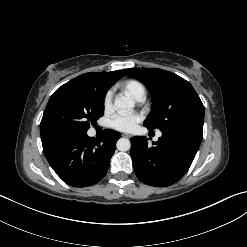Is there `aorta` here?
I'll use <instances>...</instances> for the list:
<instances>
[{
    "mask_svg": "<svg viewBox=\"0 0 247 247\" xmlns=\"http://www.w3.org/2000/svg\"><path fill=\"white\" fill-rule=\"evenodd\" d=\"M134 105L135 103L133 100L127 97H124V96L116 97L115 102H114V106L117 109L122 110V111L130 110L134 107ZM116 145L119 151H128L130 150V147H131L130 140L127 138H120L117 141Z\"/></svg>",
    "mask_w": 247,
    "mask_h": 247,
    "instance_id": "obj_1",
    "label": "aorta"
}]
</instances>
